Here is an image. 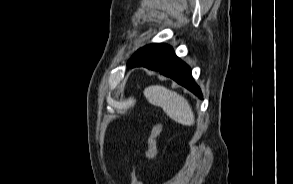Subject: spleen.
Listing matches in <instances>:
<instances>
[{
	"instance_id": "1",
	"label": "spleen",
	"mask_w": 293,
	"mask_h": 184,
	"mask_svg": "<svg viewBox=\"0 0 293 184\" xmlns=\"http://www.w3.org/2000/svg\"><path fill=\"white\" fill-rule=\"evenodd\" d=\"M144 96L152 105L159 106L175 122L191 126L195 123L189 102L180 94L160 85L144 89Z\"/></svg>"
}]
</instances>
